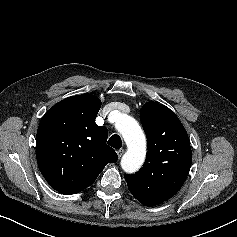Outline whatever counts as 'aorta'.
Instances as JSON below:
<instances>
[{"mask_svg": "<svg viewBox=\"0 0 237 237\" xmlns=\"http://www.w3.org/2000/svg\"><path fill=\"white\" fill-rule=\"evenodd\" d=\"M116 128L128 148L121 159V167L125 172H136L145 160L146 137L137 121L127 114L118 115Z\"/></svg>", "mask_w": 237, "mask_h": 237, "instance_id": "762f6f07", "label": "aorta"}]
</instances>
